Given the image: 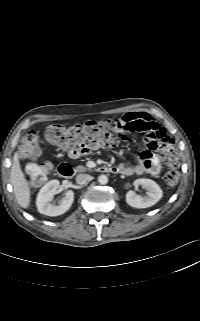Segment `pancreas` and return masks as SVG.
Instances as JSON below:
<instances>
[{
	"label": "pancreas",
	"instance_id": "obj_1",
	"mask_svg": "<svg viewBox=\"0 0 200 321\" xmlns=\"http://www.w3.org/2000/svg\"><path fill=\"white\" fill-rule=\"evenodd\" d=\"M87 170V168L85 166H77L75 168L76 172H85Z\"/></svg>",
	"mask_w": 200,
	"mask_h": 321
}]
</instances>
